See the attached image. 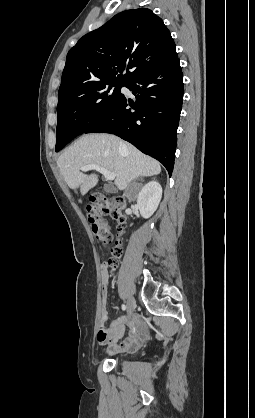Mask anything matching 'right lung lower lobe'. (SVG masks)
<instances>
[{"label":"right lung lower lobe","mask_w":255,"mask_h":418,"mask_svg":"<svg viewBox=\"0 0 255 418\" xmlns=\"http://www.w3.org/2000/svg\"><path fill=\"white\" fill-rule=\"evenodd\" d=\"M125 87L136 102L121 95L110 113L84 133L115 134L160 161L171 176L183 101L180 60L176 57L152 67Z\"/></svg>","instance_id":"obj_1"}]
</instances>
